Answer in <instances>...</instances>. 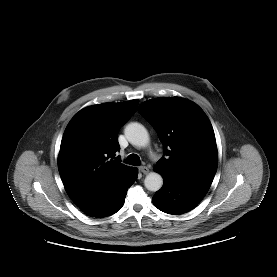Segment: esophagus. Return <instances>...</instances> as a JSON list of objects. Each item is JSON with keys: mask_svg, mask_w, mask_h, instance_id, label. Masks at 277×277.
Segmentation results:
<instances>
[{"mask_svg": "<svg viewBox=\"0 0 277 277\" xmlns=\"http://www.w3.org/2000/svg\"><path fill=\"white\" fill-rule=\"evenodd\" d=\"M139 170L143 173V174H147L149 173V168L147 166H140Z\"/></svg>", "mask_w": 277, "mask_h": 277, "instance_id": "1", "label": "esophagus"}]
</instances>
